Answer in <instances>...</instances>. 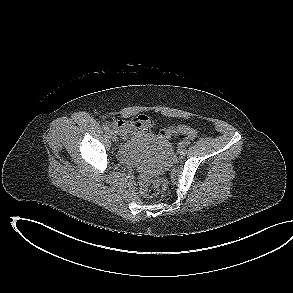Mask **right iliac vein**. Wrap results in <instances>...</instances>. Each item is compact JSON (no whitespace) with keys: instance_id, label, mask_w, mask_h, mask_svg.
<instances>
[{"instance_id":"right-iliac-vein-1","label":"right iliac vein","mask_w":293,"mask_h":293,"mask_svg":"<svg viewBox=\"0 0 293 293\" xmlns=\"http://www.w3.org/2000/svg\"><path fill=\"white\" fill-rule=\"evenodd\" d=\"M109 136H110V138L112 139L113 142H117V136H116L114 131L110 130L109 131Z\"/></svg>"}]
</instances>
